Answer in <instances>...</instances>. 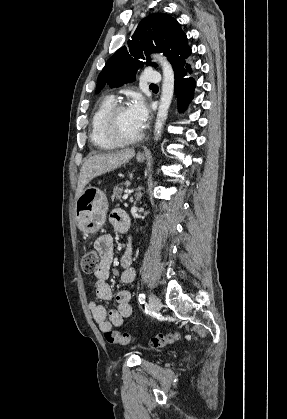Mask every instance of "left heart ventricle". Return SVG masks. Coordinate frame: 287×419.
<instances>
[{
  "mask_svg": "<svg viewBox=\"0 0 287 419\" xmlns=\"http://www.w3.org/2000/svg\"><path fill=\"white\" fill-rule=\"evenodd\" d=\"M117 126L119 132L125 137H133L141 132V129L136 125L127 108L119 112Z\"/></svg>",
  "mask_w": 287,
  "mask_h": 419,
  "instance_id": "b2bd125f",
  "label": "left heart ventricle"
}]
</instances>
